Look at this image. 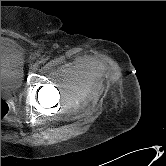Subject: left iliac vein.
<instances>
[{"mask_svg":"<svg viewBox=\"0 0 166 166\" xmlns=\"http://www.w3.org/2000/svg\"><path fill=\"white\" fill-rule=\"evenodd\" d=\"M38 68H39L38 63H35V64L32 66V69H33L34 71L38 70Z\"/></svg>","mask_w":166,"mask_h":166,"instance_id":"4c4485c4","label":"left iliac vein"}]
</instances>
